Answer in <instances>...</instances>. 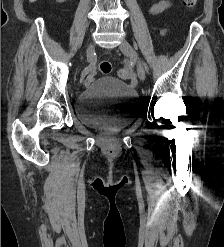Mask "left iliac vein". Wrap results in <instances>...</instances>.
I'll return each mask as SVG.
<instances>
[{
    "instance_id": "1",
    "label": "left iliac vein",
    "mask_w": 224,
    "mask_h": 247,
    "mask_svg": "<svg viewBox=\"0 0 224 247\" xmlns=\"http://www.w3.org/2000/svg\"><path fill=\"white\" fill-rule=\"evenodd\" d=\"M119 48H120V50L122 51L123 54H125L128 57H130L131 60L136 64L138 77H139L140 80L144 81L145 78H146L145 70H144V68L142 66V63L139 60V57H138L136 51L131 46V44L128 41L123 40L122 43L120 44Z\"/></svg>"
}]
</instances>
